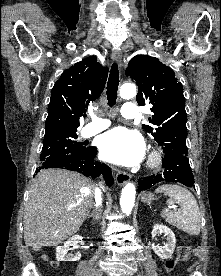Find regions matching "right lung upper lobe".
I'll list each match as a JSON object with an SVG mask.
<instances>
[{"label":"right lung upper lobe","mask_w":221,"mask_h":276,"mask_svg":"<svg viewBox=\"0 0 221 276\" xmlns=\"http://www.w3.org/2000/svg\"><path fill=\"white\" fill-rule=\"evenodd\" d=\"M107 74L95 56L66 69L51 91L45 134L76 132L89 103L100 97Z\"/></svg>","instance_id":"1"}]
</instances>
